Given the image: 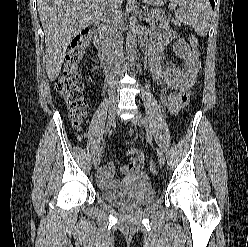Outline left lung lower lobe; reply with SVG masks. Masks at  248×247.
I'll list each match as a JSON object with an SVG mask.
<instances>
[{"label": "left lung lower lobe", "mask_w": 248, "mask_h": 247, "mask_svg": "<svg viewBox=\"0 0 248 247\" xmlns=\"http://www.w3.org/2000/svg\"><path fill=\"white\" fill-rule=\"evenodd\" d=\"M209 1L211 3L212 7L214 8V0H209Z\"/></svg>", "instance_id": "1"}]
</instances>
